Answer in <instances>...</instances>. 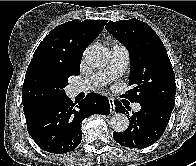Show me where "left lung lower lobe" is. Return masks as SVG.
I'll list each match as a JSON object with an SVG mask.
<instances>
[{
  "mask_svg": "<svg viewBox=\"0 0 196 166\" xmlns=\"http://www.w3.org/2000/svg\"><path fill=\"white\" fill-rule=\"evenodd\" d=\"M141 110L128 117L129 127L124 132H114L117 143L129 148H145L156 142L164 133L172 109L157 103H140ZM128 107L116 104V112L128 113Z\"/></svg>",
  "mask_w": 196,
  "mask_h": 166,
  "instance_id": "obj_1",
  "label": "left lung lower lobe"
}]
</instances>
